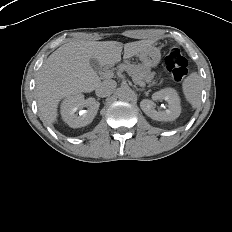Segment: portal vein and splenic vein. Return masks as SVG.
I'll list each match as a JSON object with an SVG mask.
<instances>
[{
    "label": "portal vein and splenic vein",
    "mask_w": 232,
    "mask_h": 232,
    "mask_svg": "<svg viewBox=\"0 0 232 232\" xmlns=\"http://www.w3.org/2000/svg\"><path fill=\"white\" fill-rule=\"evenodd\" d=\"M112 73L111 72H108V75H111ZM140 86H145V83L144 82H140L139 83Z\"/></svg>",
    "instance_id": "obj_1"
}]
</instances>
